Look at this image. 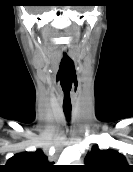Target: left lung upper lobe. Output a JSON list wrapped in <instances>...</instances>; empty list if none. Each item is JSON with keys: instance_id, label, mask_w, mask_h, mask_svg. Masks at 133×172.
Masks as SVG:
<instances>
[{"instance_id": "left-lung-upper-lobe-1", "label": "left lung upper lobe", "mask_w": 133, "mask_h": 172, "mask_svg": "<svg viewBox=\"0 0 133 172\" xmlns=\"http://www.w3.org/2000/svg\"><path fill=\"white\" fill-rule=\"evenodd\" d=\"M85 172H125L130 169L125 157L114 150L94 146L84 159Z\"/></svg>"}]
</instances>
